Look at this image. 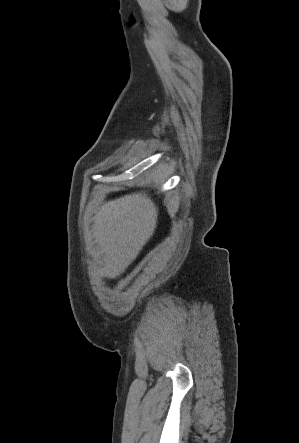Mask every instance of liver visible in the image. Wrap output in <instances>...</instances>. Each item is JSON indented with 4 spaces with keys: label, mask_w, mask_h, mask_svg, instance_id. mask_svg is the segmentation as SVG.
I'll list each match as a JSON object with an SVG mask.
<instances>
[{
    "label": "liver",
    "mask_w": 299,
    "mask_h": 443,
    "mask_svg": "<svg viewBox=\"0 0 299 443\" xmlns=\"http://www.w3.org/2000/svg\"><path fill=\"white\" fill-rule=\"evenodd\" d=\"M158 209L145 192L133 193L104 203L93 219L97 244L92 274L113 279L136 259L153 236ZM99 265V268L96 265Z\"/></svg>",
    "instance_id": "obj_1"
}]
</instances>
